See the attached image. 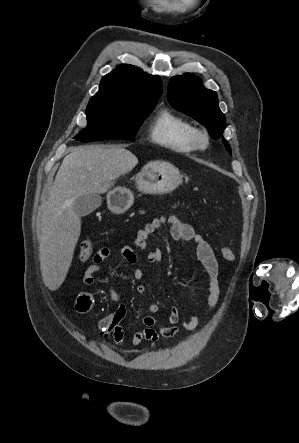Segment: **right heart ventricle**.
<instances>
[{"mask_svg":"<svg viewBox=\"0 0 299 443\" xmlns=\"http://www.w3.org/2000/svg\"><path fill=\"white\" fill-rule=\"evenodd\" d=\"M195 126L186 118L169 109L161 110L154 118L149 137L155 144L177 153L195 151L191 136Z\"/></svg>","mask_w":299,"mask_h":443,"instance_id":"1","label":"right heart ventricle"}]
</instances>
